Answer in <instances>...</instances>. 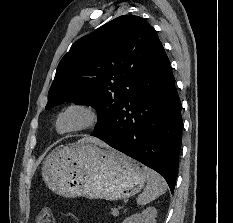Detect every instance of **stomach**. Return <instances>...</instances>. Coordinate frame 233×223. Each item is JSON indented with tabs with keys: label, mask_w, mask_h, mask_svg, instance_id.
Segmentation results:
<instances>
[{
	"label": "stomach",
	"mask_w": 233,
	"mask_h": 223,
	"mask_svg": "<svg viewBox=\"0 0 233 223\" xmlns=\"http://www.w3.org/2000/svg\"><path fill=\"white\" fill-rule=\"evenodd\" d=\"M42 177L63 197L113 201L143 189L146 167L107 145L78 141L55 147L43 161Z\"/></svg>",
	"instance_id": "0dacf381"
}]
</instances>
